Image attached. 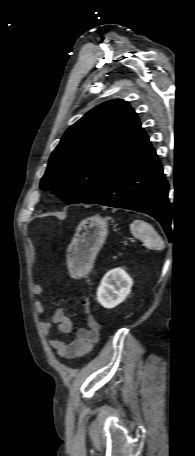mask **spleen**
Masks as SVG:
<instances>
[{"label":"spleen","instance_id":"1","mask_svg":"<svg viewBox=\"0 0 195 456\" xmlns=\"http://www.w3.org/2000/svg\"><path fill=\"white\" fill-rule=\"evenodd\" d=\"M131 233L140 239L147 248L163 249L164 242L155 229L149 223L142 220H134L130 225Z\"/></svg>","mask_w":195,"mask_h":456}]
</instances>
